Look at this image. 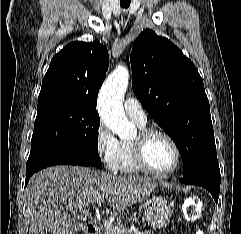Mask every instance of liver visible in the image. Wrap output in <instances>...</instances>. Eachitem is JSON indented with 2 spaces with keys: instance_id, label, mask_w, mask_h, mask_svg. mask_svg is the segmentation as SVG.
<instances>
[{
  "instance_id": "6515ba94",
  "label": "liver",
  "mask_w": 241,
  "mask_h": 234,
  "mask_svg": "<svg viewBox=\"0 0 241 234\" xmlns=\"http://www.w3.org/2000/svg\"><path fill=\"white\" fill-rule=\"evenodd\" d=\"M157 187L147 178L115 176L79 166H54L34 174L25 189L29 234H75L77 213L107 198L114 210L146 199Z\"/></svg>"
}]
</instances>
